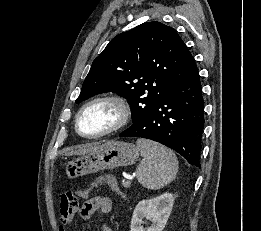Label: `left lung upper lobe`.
<instances>
[{
  "label": "left lung upper lobe",
  "instance_id": "left-lung-upper-lobe-1",
  "mask_svg": "<svg viewBox=\"0 0 261 231\" xmlns=\"http://www.w3.org/2000/svg\"><path fill=\"white\" fill-rule=\"evenodd\" d=\"M196 63L172 27L143 23L114 37L93 61L76 103L104 92L127 99L133 123L142 120Z\"/></svg>",
  "mask_w": 261,
  "mask_h": 231
}]
</instances>
